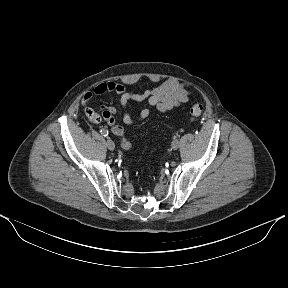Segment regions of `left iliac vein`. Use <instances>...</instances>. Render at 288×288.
Masks as SVG:
<instances>
[{"label":"left iliac vein","mask_w":288,"mask_h":288,"mask_svg":"<svg viewBox=\"0 0 288 288\" xmlns=\"http://www.w3.org/2000/svg\"><path fill=\"white\" fill-rule=\"evenodd\" d=\"M171 146H172V148H173L174 150L178 149V147H179V141H178V140L172 141Z\"/></svg>","instance_id":"left-iliac-vein-1"}]
</instances>
